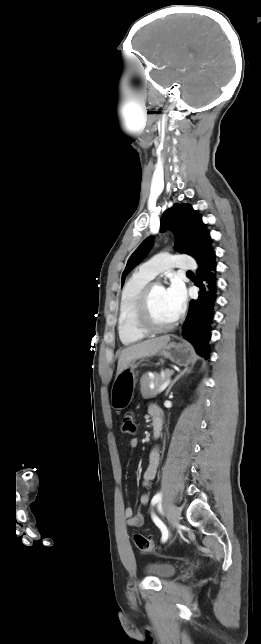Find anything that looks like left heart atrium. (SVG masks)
I'll list each match as a JSON object with an SVG mask.
<instances>
[{
    "mask_svg": "<svg viewBox=\"0 0 261 644\" xmlns=\"http://www.w3.org/2000/svg\"><path fill=\"white\" fill-rule=\"evenodd\" d=\"M164 291L175 318H178L183 313L186 305V296L182 285L178 282H173Z\"/></svg>",
    "mask_w": 261,
    "mask_h": 644,
    "instance_id": "obj_1",
    "label": "left heart atrium"
}]
</instances>
